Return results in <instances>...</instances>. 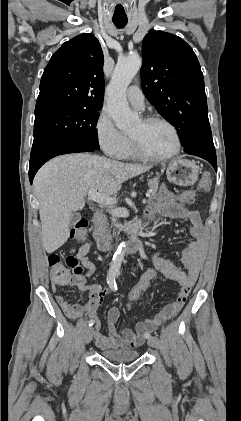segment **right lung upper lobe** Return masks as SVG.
Instances as JSON below:
<instances>
[{"mask_svg": "<svg viewBox=\"0 0 241 421\" xmlns=\"http://www.w3.org/2000/svg\"><path fill=\"white\" fill-rule=\"evenodd\" d=\"M103 52L93 34L65 42L51 57L40 82L36 109L49 106L102 108Z\"/></svg>", "mask_w": 241, "mask_h": 421, "instance_id": "right-lung-upper-lobe-1", "label": "right lung upper lobe"}]
</instances>
